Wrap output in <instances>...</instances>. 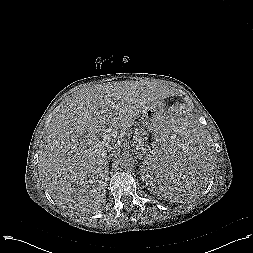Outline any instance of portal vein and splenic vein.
Masks as SVG:
<instances>
[{
	"instance_id": "1",
	"label": "portal vein and splenic vein",
	"mask_w": 253,
	"mask_h": 253,
	"mask_svg": "<svg viewBox=\"0 0 253 253\" xmlns=\"http://www.w3.org/2000/svg\"><path fill=\"white\" fill-rule=\"evenodd\" d=\"M137 141H138L139 144L142 143V139L141 138H138Z\"/></svg>"
}]
</instances>
